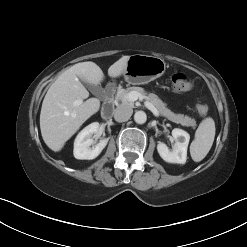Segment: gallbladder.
Segmentation results:
<instances>
[{"mask_svg":"<svg viewBox=\"0 0 247 247\" xmlns=\"http://www.w3.org/2000/svg\"><path fill=\"white\" fill-rule=\"evenodd\" d=\"M81 81L89 88L92 94L96 96H100L102 94V88L99 85L89 84L83 80Z\"/></svg>","mask_w":247,"mask_h":247,"instance_id":"gallbladder-1","label":"gallbladder"}]
</instances>
